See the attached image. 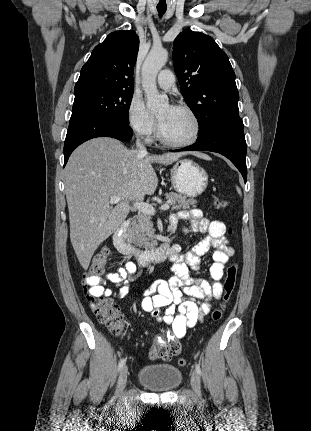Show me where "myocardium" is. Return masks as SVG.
Wrapping results in <instances>:
<instances>
[{"label": "myocardium", "instance_id": "1", "mask_svg": "<svg viewBox=\"0 0 311 431\" xmlns=\"http://www.w3.org/2000/svg\"><path fill=\"white\" fill-rule=\"evenodd\" d=\"M176 108L181 109L183 111H186L187 113H189L193 117V119L196 123V132H195L194 136L190 140L184 141V142L169 140V139L164 137L161 123L158 120L157 139L160 143H162L165 146H169V147H174V148L190 147V146L194 145L195 143H197V141L201 137L202 130H203L202 120H201L200 116L198 115V113L192 107H190L187 104H180Z\"/></svg>", "mask_w": 311, "mask_h": 431}]
</instances>
